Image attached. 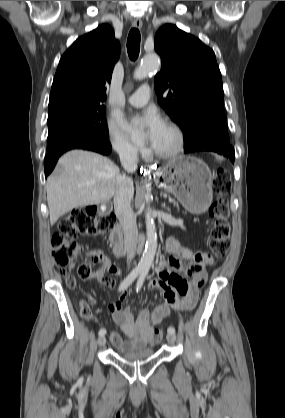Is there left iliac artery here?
<instances>
[{"instance_id": "1", "label": "left iliac artery", "mask_w": 285, "mask_h": 418, "mask_svg": "<svg viewBox=\"0 0 285 418\" xmlns=\"http://www.w3.org/2000/svg\"><path fill=\"white\" fill-rule=\"evenodd\" d=\"M147 272H148V270H143L142 272H141V274H140V277H139V279H138V281H137V285H136V290L138 291V290H140L141 289V287H142V285H143V282H144V279H145V276L147 275ZM167 331H168V333H173V334H175V328L174 327H172V326H170L168 329H167Z\"/></svg>"}]
</instances>
